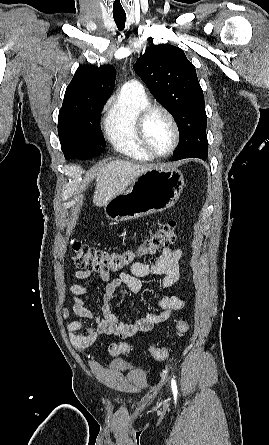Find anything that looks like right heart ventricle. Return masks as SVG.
I'll list each match as a JSON object with an SVG mask.
<instances>
[{
    "mask_svg": "<svg viewBox=\"0 0 269 445\" xmlns=\"http://www.w3.org/2000/svg\"><path fill=\"white\" fill-rule=\"evenodd\" d=\"M149 104L144 91L122 87L104 118L105 134L113 148L138 161H151L154 158L144 150L136 134L138 114Z\"/></svg>",
    "mask_w": 269,
    "mask_h": 445,
    "instance_id": "obj_1",
    "label": "right heart ventricle"
}]
</instances>
